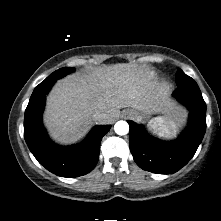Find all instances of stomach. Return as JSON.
I'll use <instances>...</instances> for the list:
<instances>
[{"label":"stomach","instance_id":"0dacf381","mask_svg":"<svg viewBox=\"0 0 221 221\" xmlns=\"http://www.w3.org/2000/svg\"><path fill=\"white\" fill-rule=\"evenodd\" d=\"M125 112H128L134 120L139 121V122L147 120L150 113H151V112L138 111L136 109H130V110L127 109ZM148 125L152 129L158 131L160 135H162V130H163L162 127L164 126L163 121L159 122V121H157L156 118H153V119L149 120Z\"/></svg>","mask_w":221,"mask_h":221}]
</instances>
